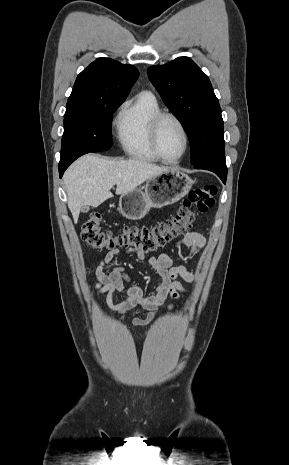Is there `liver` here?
<instances>
[{"mask_svg":"<svg viewBox=\"0 0 289 465\" xmlns=\"http://www.w3.org/2000/svg\"><path fill=\"white\" fill-rule=\"evenodd\" d=\"M169 169L139 159L117 161L93 154L80 157L63 176L74 222L82 206L98 207L113 197L110 190L114 185L116 194L123 195Z\"/></svg>","mask_w":289,"mask_h":465,"instance_id":"1","label":"liver"}]
</instances>
